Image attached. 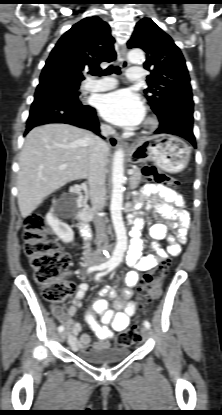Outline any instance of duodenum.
Instances as JSON below:
<instances>
[{
    "instance_id": "1",
    "label": "duodenum",
    "mask_w": 222,
    "mask_h": 415,
    "mask_svg": "<svg viewBox=\"0 0 222 415\" xmlns=\"http://www.w3.org/2000/svg\"><path fill=\"white\" fill-rule=\"evenodd\" d=\"M89 221H90V212L87 209H83L80 212V216H79V229L85 238H89L91 234L90 228H89Z\"/></svg>"
}]
</instances>
